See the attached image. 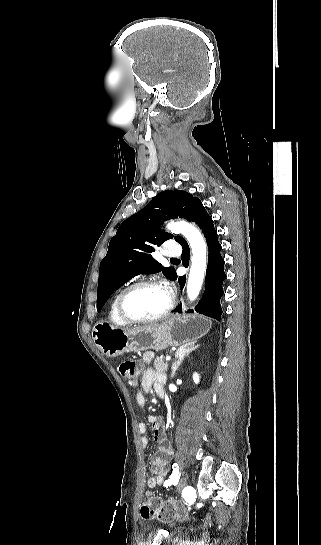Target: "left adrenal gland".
<instances>
[{"instance_id": "left-adrenal-gland-1", "label": "left adrenal gland", "mask_w": 321, "mask_h": 545, "mask_svg": "<svg viewBox=\"0 0 321 545\" xmlns=\"http://www.w3.org/2000/svg\"><path fill=\"white\" fill-rule=\"evenodd\" d=\"M197 347H199V345H195V343H191V345H187V347H181V349H178V351H176V361L175 363H173L171 369H172V379L173 377H175V373L178 369V367H180L181 363H183V361H185V357H188V355H190V353H192V351H195V349H197Z\"/></svg>"}]
</instances>
